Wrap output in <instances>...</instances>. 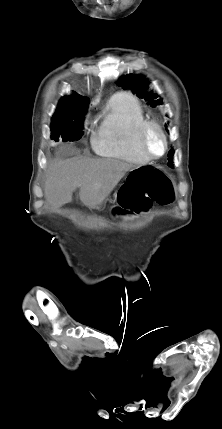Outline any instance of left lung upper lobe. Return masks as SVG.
<instances>
[{
	"instance_id": "5c2ea615",
	"label": "left lung upper lobe",
	"mask_w": 222,
	"mask_h": 429,
	"mask_svg": "<svg viewBox=\"0 0 222 429\" xmlns=\"http://www.w3.org/2000/svg\"><path fill=\"white\" fill-rule=\"evenodd\" d=\"M117 83L125 89L131 88L134 92H136L138 97L144 98L146 101H148L151 107H156L157 105L162 104V100L157 99V94L147 91L149 88V82L142 75L127 74L126 76L118 79ZM173 154V148H171L168 153V166L171 168H173Z\"/></svg>"
}]
</instances>
